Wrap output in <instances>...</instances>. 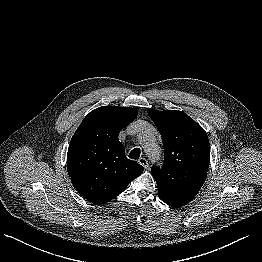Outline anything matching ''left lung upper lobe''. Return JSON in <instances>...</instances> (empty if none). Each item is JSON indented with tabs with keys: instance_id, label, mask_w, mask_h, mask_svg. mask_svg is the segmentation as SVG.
Here are the masks:
<instances>
[{
	"instance_id": "5c2ea615",
	"label": "left lung upper lobe",
	"mask_w": 262,
	"mask_h": 262,
	"mask_svg": "<svg viewBox=\"0 0 262 262\" xmlns=\"http://www.w3.org/2000/svg\"><path fill=\"white\" fill-rule=\"evenodd\" d=\"M164 146V165L153 166L158 196L166 204L181 207L201 189L210 163L209 140L203 128L182 111L149 110Z\"/></svg>"
}]
</instances>
